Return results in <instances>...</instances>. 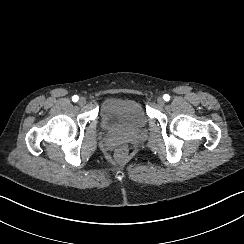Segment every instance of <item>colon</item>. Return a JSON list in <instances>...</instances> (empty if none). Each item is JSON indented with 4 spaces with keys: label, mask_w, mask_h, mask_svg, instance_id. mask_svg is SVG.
<instances>
[{
    "label": "colon",
    "mask_w": 244,
    "mask_h": 244,
    "mask_svg": "<svg viewBox=\"0 0 244 244\" xmlns=\"http://www.w3.org/2000/svg\"><path fill=\"white\" fill-rule=\"evenodd\" d=\"M128 159V150L127 147L124 144H119L116 147V157L115 160L119 164H123Z\"/></svg>",
    "instance_id": "5ec220e1"
}]
</instances>
